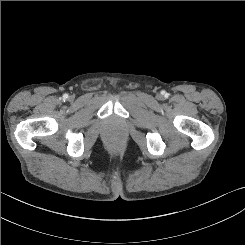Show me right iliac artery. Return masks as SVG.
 I'll use <instances>...</instances> for the list:
<instances>
[{
    "mask_svg": "<svg viewBox=\"0 0 245 245\" xmlns=\"http://www.w3.org/2000/svg\"><path fill=\"white\" fill-rule=\"evenodd\" d=\"M63 97H64V99H66V98H68V95H67V94H65Z\"/></svg>",
    "mask_w": 245,
    "mask_h": 245,
    "instance_id": "right-iliac-artery-1",
    "label": "right iliac artery"
}]
</instances>
